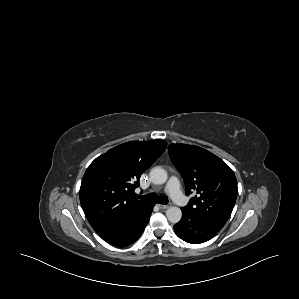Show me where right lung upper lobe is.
Instances as JSON below:
<instances>
[{
    "label": "right lung upper lobe",
    "mask_w": 299,
    "mask_h": 299,
    "mask_svg": "<svg viewBox=\"0 0 299 299\" xmlns=\"http://www.w3.org/2000/svg\"><path fill=\"white\" fill-rule=\"evenodd\" d=\"M166 146L162 140L130 141L110 149L90 164L82 179L80 202L95 231L137 216L151 205L133 199L130 193Z\"/></svg>",
    "instance_id": "cb5924a9"
}]
</instances>
